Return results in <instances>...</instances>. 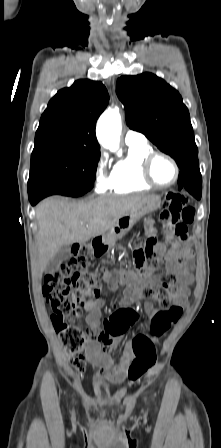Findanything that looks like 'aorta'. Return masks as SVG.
<instances>
[{"mask_svg": "<svg viewBox=\"0 0 221 448\" xmlns=\"http://www.w3.org/2000/svg\"><path fill=\"white\" fill-rule=\"evenodd\" d=\"M122 123L119 109L109 108L99 118L96 134L100 144L111 152H118Z\"/></svg>", "mask_w": 221, "mask_h": 448, "instance_id": "aorta-1", "label": "aorta"}]
</instances>
